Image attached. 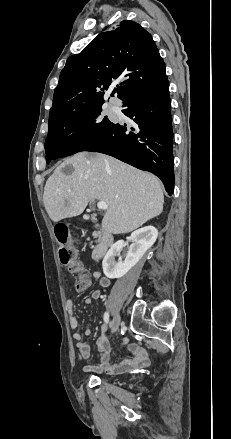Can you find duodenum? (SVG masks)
Here are the masks:
<instances>
[{
  "label": "duodenum",
  "instance_id": "obj_1",
  "mask_svg": "<svg viewBox=\"0 0 231 439\" xmlns=\"http://www.w3.org/2000/svg\"><path fill=\"white\" fill-rule=\"evenodd\" d=\"M98 237L99 242L92 253V257L95 261H99L104 257L114 240L113 234L103 228L99 229Z\"/></svg>",
  "mask_w": 231,
  "mask_h": 439
}]
</instances>
